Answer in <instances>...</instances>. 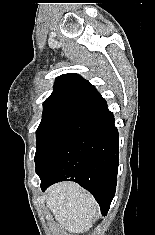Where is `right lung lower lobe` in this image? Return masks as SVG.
<instances>
[{
  "label": "right lung lower lobe",
  "instance_id": "1",
  "mask_svg": "<svg viewBox=\"0 0 155 235\" xmlns=\"http://www.w3.org/2000/svg\"><path fill=\"white\" fill-rule=\"evenodd\" d=\"M98 121L74 137L44 170L37 172L44 191L58 181H75L87 189L107 214L114 198L119 163L118 131L106 101L95 88L89 91Z\"/></svg>",
  "mask_w": 155,
  "mask_h": 235
}]
</instances>
